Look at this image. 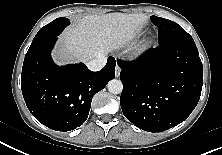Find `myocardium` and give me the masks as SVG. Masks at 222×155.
<instances>
[{"mask_svg":"<svg viewBox=\"0 0 222 155\" xmlns=\"http://www.w3.org/2000/svg\"><path fill=\"white\" fill-rule=\"evenodd\" d=\"M148 49V45L145 44L143 45L138 51H137V55H142L146 50Z\"/></svg>","mask_w":222,"mask_h":155,"instance_id":"1","label":"myocardium"}]
</instances>
